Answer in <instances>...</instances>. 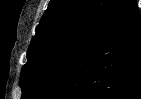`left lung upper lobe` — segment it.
Masks as SVG:
<instances>
[{"mask_svg":"<svg viewBox=\"0 0 141 99\" xmlns=\"http://www.w3.org/2000/svg\"><path fill=\"white\" fill-rule=\"evenodd\" d=\"M122 0H50L22 67L21 99H38Z\"/></svg>","mask_w":141,"mask_h":99,"instance_id":"obj_1","label":"left lung upper lobe"}]
</instances>
